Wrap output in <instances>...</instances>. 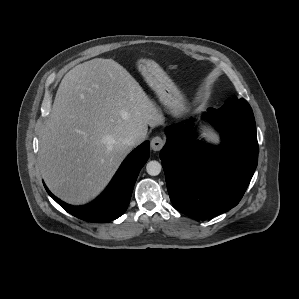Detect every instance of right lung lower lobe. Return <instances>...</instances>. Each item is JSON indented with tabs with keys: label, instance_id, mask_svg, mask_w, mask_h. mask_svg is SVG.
<instances>
[{
	"label": "right lung lower lobe",
	"instance_id": "1",
	"mask_svg": "<svg viewBox=\"0 0 299 299\" xmlns=\"http://www.w3.org/2000/svg\"><path fill=\"white\" fill-rule=\"evenodd\" d=\"M150 155V142L138 146L122 163L105 192L92 204L83 207L68 205L48 194L67 212L89 222H108L120 217L128 207L138 174Z\"/></svg>",
	"mask_w": 299,
	"mask_h": 299
}]
</instances>
